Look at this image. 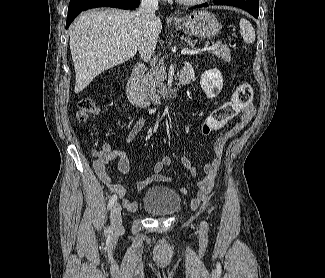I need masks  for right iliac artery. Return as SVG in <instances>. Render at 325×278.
Returning a JSON list of instances; mask_svg holds the SVG:
<instances>
[{"label": "right iliac artery", "instance_id": "1", "mask_svg": "<svg viewBox=\"0 0 325 278\" xmlns=\"http://www.w3.org/2000/svg\"><path fill=\"white\" fill-rule=\"evenodd\" d=\"M116 200H117V196H116V195H113V196L110 198L109 203H108V208H109V209L114 205V203H115ZM107 232H108V233H111V229L109 228V229L107 230Z\"/></svg>", "mask_w": 325, "mask_h": 278}]
</instances>
